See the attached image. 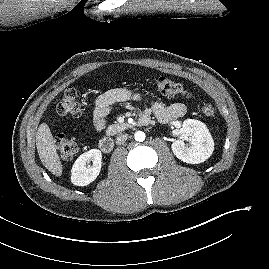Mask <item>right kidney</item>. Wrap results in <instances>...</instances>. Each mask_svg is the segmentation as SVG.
Instances as JSON below:
<instances>
[{"label": "right kidney", "instance_id": "obj_1", "mask_svg": "<svg viewBox=\"0 0 269 269\" xmlns=\"http://www.w3.org/2000/svg\"><path fill=\"white\" fill-rule=\"evenodd\" d=\"M101 160L102 153L99 149H91L81 154L72 166L71 182L76 186L89 185L100 173Z\"/></svg>", "mask_w": 269, "mask_h": 269}]
</instances>
